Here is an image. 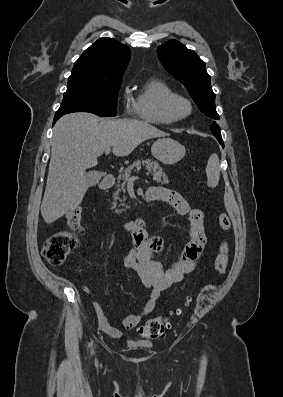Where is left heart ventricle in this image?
Instances as JSON below:
<instances>
[{
	"label": "left heart ventricle",
	"instance_id": "1",
	"mask_svg": "<svg viewBox=\"0 0 283 397\" xmlns=\"http://www.w3.org/2000/svg\"><path fill=\"white\" fill-rule=\"evenodd\" d=\"M180 110L183 111V110H184V107H183V106H180Z\"/></svg>",
	"mask_w": 283,
	"mask_h": 397
}]
</instances>
